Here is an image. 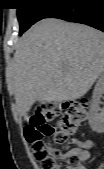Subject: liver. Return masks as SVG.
<instances>
[{"label":"liver","mask_w":104,"mask_h":169,"mask_svg":"<svg viewBox=\"0 0 104 169\" xmlns=\"http://www.w3.org/2000/svg\"><path fill=\"white\" fill-rule=\"evenodd\" d=\"M104 70V34L92 27L46 18L21 37L10 86L20 115L28 121L35 102L74 101Z\"/></svg>","instance_id":"liver-1"}]
</instances>
